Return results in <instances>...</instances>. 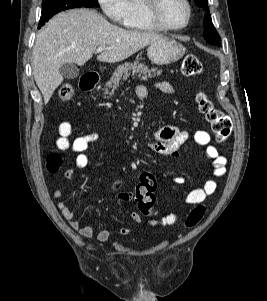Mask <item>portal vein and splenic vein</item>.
<instances>
[{
  "mask_svg": "<svg viewBox=\"0 0 267 301\" xmlns=\"http://www.w3.org/2000/svg\"><path fill=\"white\" fill-rule=\"evenodd\" d=\"M104 50H106L105 47H98V48H97V53H100V52H102V51H104Z\"/></svg>",
  "mask_w": 267,
  "mask_h": 301,
  "instance_id": "1",
  "label": "portal vein and splenic vein"
}]
</instances>
